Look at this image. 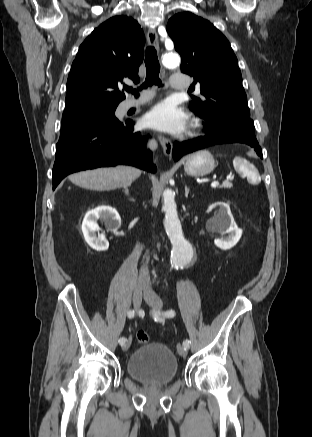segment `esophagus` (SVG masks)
Here are the masks:
<instances>
[{"mask_svg": "<svg viewBox=\"0 0 312 437\" xmlns=\"http://www.w3.org/2000/svg\"><path fill=\"white\" fill-rule=\"evenodd\" d=\"M147 40L150 46L154 47L156 50H159V42L158 36L153 28H149L147 32ZM158 140L163 148V152L166 156L170 157L172 155L173 146L171 141L165 137H158Z\"/></svg>", "mask_w": 312, "mask_h": 437, "instance_id": "1", "label": "esophagus"}]
</instances>
